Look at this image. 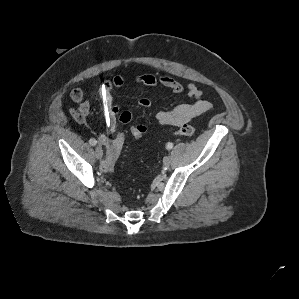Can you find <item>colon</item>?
<instances>
[{"mask_svg":"<svg viewBox=\"0 0 299 299\" xmlns=\"http://www.w3.org/2000/svg\"><path fill=\"white\" fill-rule=\"evenodd\" d=\"M71 114L75 120L78 122H84L87 113L79 108L73 109L71 111ZM146 133V130L137 125H133L130 127L129 131L124 130H118L116 131L111 138L109 139L107 145H106V154L105 158L101 163V168L106 172H112L115 166L116 161L118 160L128 134L131 135L135 139H140L144 136ZM195 134V128L189 124H183L181 125L175 132V136L180 137H190Z\"/></svg>","mask_w":299,"mask_h":299,"instance_id":"colon-1","label":"colon"}]
</instances>
